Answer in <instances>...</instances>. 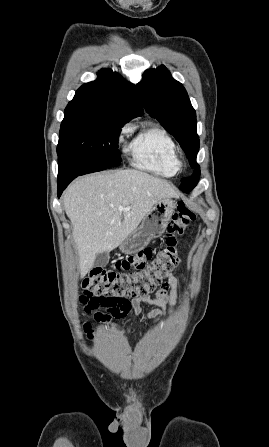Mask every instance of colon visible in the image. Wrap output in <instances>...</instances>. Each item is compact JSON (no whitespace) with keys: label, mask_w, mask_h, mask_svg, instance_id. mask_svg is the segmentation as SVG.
Returning <instances> with one entry per match:
<instances>
[{"label":"colon","mask_w":269,"mask_h":447,"mask_svg":"<svg viewBox=\"0 0 269 447\" xmlns=\"http://www.w3.org/2000/svg\"><path fill=\"white\" fill-rule=\"evenodd\" d=\"M195 219V212L184 203H180L167 225L164 249L158 252L145 249L127 253L126 257H116L114 265L108 266L106 270L103 266H93L92 272L82 282L84 292L80 297V303L85 310L91 312L101 301L100 305L111 307L112 312H120H106V319L125 318L126 314L123 312L130 306L129 298L143 297L154 292L168 274L180 264L179 236ZM121 271L136 272L123 274ZM91 295L95 296L90 299ZM102 317L101 312L92 313L93 319ZM83 329L90 338L93 337L89 322L83 323Z\"/></svg>","instance_id":"colon-1"}]
</instances>
